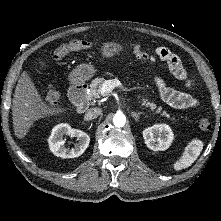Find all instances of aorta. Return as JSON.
I'll list each match as a JSON object with an SVG mask.
<instances>
[{"label": "aorta", "mask_w": 221, "mask_h": 221, "mask_svg": "<svg viewBox=\"0 0 221 221\" xmlns=\"http://www.w3.org/2000/svg\"><path fill=\"white\" fill-rule=\"evenodd\" d=\"M113 123L116 127H123L126 123V117L122 113H116L113 117Z\"/></svg>", "instance_id": "obj_1"}]
</instances>
